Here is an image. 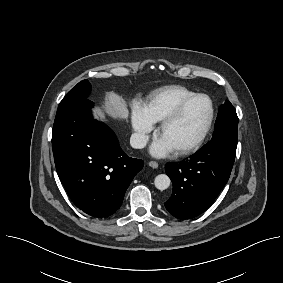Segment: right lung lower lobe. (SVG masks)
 <instances>
[{
    "mask_svg": "<svg viewBox=\"0 0 283 283\" xmlns=\"http://www.w3.org/2000/svg\"><path fill=\"white\" fill-rule=\"evenodd\" d=\"M84 99L57 110L52 147L57 174L73 203L96 217L112 215L143 161L127 156L114 132Z\"/></svg>",
    "mask_w": 283,
    "mask_h": 283,
    "instance_id": "obj_1",
    "label": "right lung lower lobe"
}]
</instances>
